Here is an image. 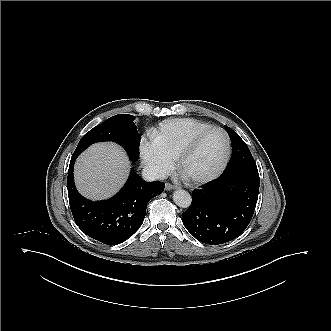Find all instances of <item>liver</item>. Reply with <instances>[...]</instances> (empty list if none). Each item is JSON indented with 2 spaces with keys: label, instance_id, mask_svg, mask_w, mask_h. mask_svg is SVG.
<instances>
[{
  "label": "liver",
  "instance_id": "6515ba94",
  "mask_svg": "<svg viewBox=\"0 0 331 331\" xmlns=\"http://www.w3.org/2000/svg\"><path fill=\"white\" fill-rule=\"evenodd\" d=\"M129 170V159L119 145L112 142L96 143L77 158L74 180L83 196L91 200H103L122 187Z\"/></svg>",
  "mask_w": 331,
  "mask_h": 331
}]
</instances>
